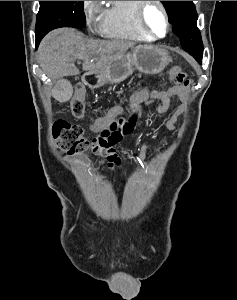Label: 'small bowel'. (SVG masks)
Returning a JSON list of instances; mask_svg holds the SVG:
<instances>
[{
  "instance_id": "small-bowel-1",
  "label": "small bowel",
  "mask_w": 237,
  "mask_h": 300,
  "mask_svg": "<svg viewBox=\"0 0 237 300\" xmlns=\"http://www.w3.org/2000/svg\"><path fill=\"white\" fill-rule=\"evenodd\" d=\"M186 87L181 85H173L169 87L167 90L161 93L159 104L157 106L158 113H165L168 111L171 103L172 98H178L181 99L185 96ZM146 95V92L144 90L134 94L131 98L130 104L132 106L140 103L144 96ZM122 112L121 108H113L109 111V113L102 118L97 119L93 123L89 125L91 131L95 133H100L102 130L107 128L109 124ZM181 112L177 110L169 120L166 121L165 126L173 130L176 127L177 122V116ZM147 146L144 148L146 149ZM95 153L102 159V161L111 169V170H117L121 168V159L117 155L114 149H111L109 151H95ZM71 162H73L75 165L78 166L79 170L81 172H85L89 167V162L86 159H71L69 158Z\"/></svg>"
}]
</instances>
